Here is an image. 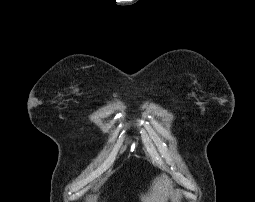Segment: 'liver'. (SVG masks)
<instances>
[{"label":"liver","instance_id":"liver-1","mask_svg":"<svg viewBox=\"0 0 255 202\" xmlns=\"http://www.w3.org/2000/svg\"><path fill=\"white\" fill-rule=\"evenodd\" d=\"M174 196L172 182L166 175L157 177L146 195H141L142 202H165L169 196Z\"/></svg>","mask_w":255,"mask_h":202}]
</instances>
